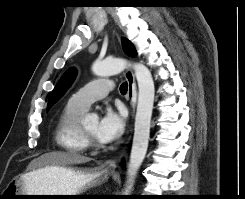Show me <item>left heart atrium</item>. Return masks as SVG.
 <instances>
[{"instance_id": "obj_1", "label": "left heart atrium", "mask_w": 245, "mask_h": 199, "mask_svg": "<svg viewBox=\"0 0 245 199\" xmlns=\"http://www.w3.org/2000/svg\"><path fill=\"white\" fill-rule=\"evenodd\" d=\"M125 114L122 109L107 107L98 121L96 136L98 141L110 143L117 140L124 132Z\"/></svg>"}]
</instances>
